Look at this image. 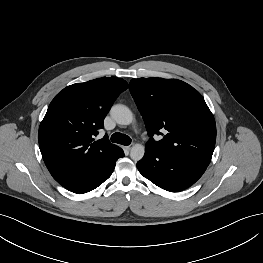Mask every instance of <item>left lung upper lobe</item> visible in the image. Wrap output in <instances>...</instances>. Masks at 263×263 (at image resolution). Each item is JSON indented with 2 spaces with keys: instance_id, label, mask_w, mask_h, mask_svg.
<instances>
[{
  "instance_id": "obj_1",
  "label": "left lung upper lobe",
  "mask_w": 263,
  "mask_h": 263,
  "mask_svg": "<svg viewBox=\"0 0 263 263\" xmlns=\"http://www.w3.org/2000/svg\"><path fill=\"white\" fill-rule=\"evenodd\" d=\"M129 90L145 121L151 139L146 148L173 152L209 165L215 147L216 124L202 95L177 79L138 78ZM166 134L160 141L154 134Z\"/></svg>"
}]
</instances>
